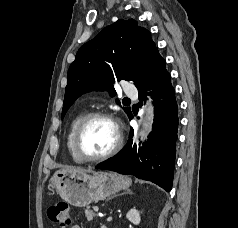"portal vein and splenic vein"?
<instances>
[{
    "label": "portal vein and splenic vein",
    "instance_id": "18ae733b",
    "mask_svg": "<svg viewBox=\"0 0 238 228\" xmlns=\"http://www.w3.org/2000/svg\"><path fill=\"white\" fill-rule=\"evenodd\" d=\"M94 211H95V212H98V211H99V208H98V207H94Z\"/></svg>",
    "mask_w": 238,
    "mask_h": 228
}]
</instances>
